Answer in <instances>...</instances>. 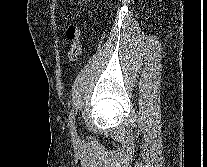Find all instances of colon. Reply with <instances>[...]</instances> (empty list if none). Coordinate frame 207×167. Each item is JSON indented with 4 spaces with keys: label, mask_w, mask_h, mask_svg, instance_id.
<instances>
[{
    "label": "colon",
    "mask_w": 207,
    "mask_h": 167,
    "mask_svg": "<svg viewBox=\"0 0 207 167\" xmlns=\"http://www.w3.org/2000/svg\"><path fill=\"white\" fill-rule=\"evenodd\" d=\"M67 38L71 41L70 48L67 53V59L71 63H75L81 54L80 26L77 23L71 24L66 31Z\"/></svg>",
    "instance_id": "1"
}]
</instances>
